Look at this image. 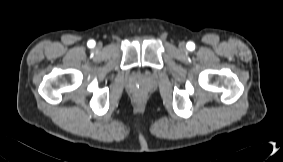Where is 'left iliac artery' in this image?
Segmentation results:
<instances>
[{"label":"left iliac artery","instance_id":"44dca946","mask_svg":"<svg viewBox=\"0 0 283 162\" xmlns=\"http://www.w3.org/2000/svg\"><path fill=\"white\" fill-rule=\"evenodd\" d=\"M195 48V44L193 42H188L187 43V49L192 51Z\"/></svg>","mask_w":283,"mask_h":162}]
</instances>
